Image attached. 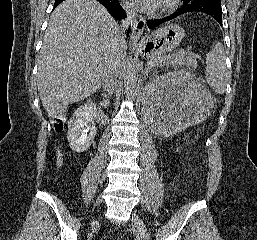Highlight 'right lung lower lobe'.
<instances>
[{
    "label": "right lung lower lobe",
    "instance_id": "98d812e1",
    "mask_svg": "<svg viewBox=\"0 0 257 240\" xmlns=\"http://www.w3.org/2000/svg\"><path fill=\"white\" fill-rule=\"evenodd\" d=\"M99 1L105 8L111 13V15L116 20H121V18L126 17V13L124 9L121 7L118 0H97ZM57 5H55L56 7ZM54 7V8H55ZM129 34V30L127 31V36Z\"/></svg>",
    "mask_w": 257,
    "mask_h": 240
}]
</instances>
